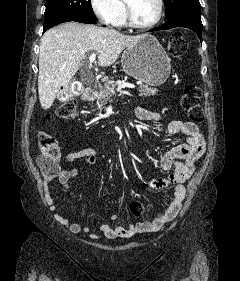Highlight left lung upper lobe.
<instances>
[{"label": "left lung upper lobe", "instance_id": "5c2ea615", "mask_svg": "<svg viewBox=\"0 0 240 281\" xmlns=\"http://www.w3.org/2000/svg\"><path fill=\"white\" fill-rule=\"evenodd\" d=\"M165 11L168 19L186 13L194 12L200 14L201 5L199 0H164Z\"/></svg>", "mask_w": 240, "mask_h": 281}]
</instances>
